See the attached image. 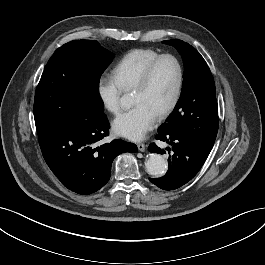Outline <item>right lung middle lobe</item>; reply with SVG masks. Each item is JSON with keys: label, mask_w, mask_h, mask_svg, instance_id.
Returning a JSON list of instances; mask_svg holds the SVG:
<instances>
[{"label": "right lung middle lobe", "mask_w": 265, "mask_h": 265, "mask_svg": "<svg viewBox=\"0 0 265 265\" xmlns=\"http://www.w3.org/2000/svg\"><path fill=\"white\" fill-rule=\"evenodd\" d=\"M113 58L93 40L71 41L55 51L35 93L34 118L39 136L83 112L103 113L99 80Z\"/></svg>", "instance_id": "1"}]
</instances>
